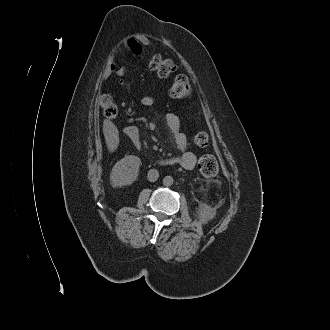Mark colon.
Masks as SVG:
<instances>
[{
  "label": "colon",
  "instance_id": "1",
  "mask_svg": "<svg viewBox=\"0 0 330 330\" xmlns=\"http://www.w3.org/2000/svg\"><path fill=\"white\" fill-rule=\"evenodd\" d=\"M148 67L155 71L161 78L169 77L176 69L175 64L171 60L163 59L159 54H152L148 58ZM170 93L174 98H189L192 89L188 78L184 75L178 76L171 86ZM100 103L103 108V113L107 118H114L117 116V106L109 94L101 95ZM208 142L209 137L204 132H200L195 136V143L198 146H206ZM198 168L204 176L211 177L217 173L218 163L213 156L206 155L200 158Z\"/></svg>",
  "mask_w": 330,
  "mask_h": 330
}]
</instances>
